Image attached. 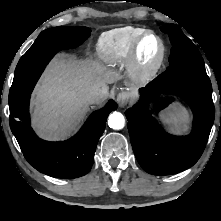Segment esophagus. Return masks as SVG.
Returning <instances> with one entry per match:
<instances>
[{
  "instance_id": "1",
  "label": "esophagus",
  "mask_w": 221,
  "mask_h": 221,
  "mask_svg": "<svg viewBox=\"0 0 221 221\" xmlns=\"http://www.w3.org/2000/svg\"><path fill=\"white\" fill-rule=\"evenodd\" d=\"M117 102L120 107L126 106L130 102V94L127 91H121L117 95Z\"/></svg>"
}]
</instances>
